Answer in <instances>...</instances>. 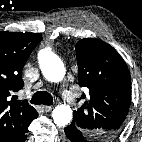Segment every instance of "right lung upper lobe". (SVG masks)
Masks as SVG:
<instances>
[{
  "label": "right lung upper lobe",
  "mask_w": 142,
  "mask_h": 142,
  "mask_svg": "<svg viewBox=\"0 0 142 142\" xmlns=\"http://www.w3.org/2000/svg\"><path fill=\"white\" fill-rule=\"evenodd\" d=\"M41 40L40 33L0 31V142H23L38 116L27 100L11 95L24 86L22 68Z\"/></svg>",
  "instance_id": "right-lung-upper-lobe-1"
}]
</instances>
